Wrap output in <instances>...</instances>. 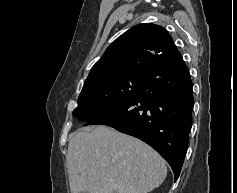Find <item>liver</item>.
I'll return each instance as SVG.
<instances>
[{
  "mask_svg": "<svg viewBox=\"0 0 237 193\" xmlns=\"http://www.w3.org/2000/svg\"><path fill=\"white\" fill-rule=\"evenodd\" d=\"M66 159L71 193H148L167 175L150 146L103 125L73 133Z\"/></svg>",
  "mask_w": 237,
  "mask_h": 193,
  "instance_id": "6515ba94",
  "label": "liver"
}]
</instances>
